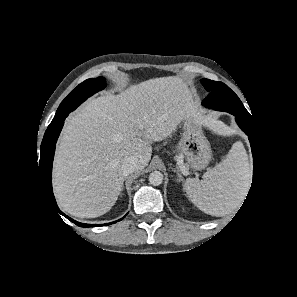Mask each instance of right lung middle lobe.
Masks as SVG:
<instances>
[{
    "label": "right lung middle lobe",
    "instance_id": "1",
    "mask_svg": "<svg viewBox=\"0 0 297 297\" xmlns=\"http://www.w3.org/2000/svg\"><path fill=\"white\" fill-rule=\"evenodd\" d=\"M106 86L105 78L97 77L92 79H87L81 84H79L68 96L61 102L57 112L48 126L52 128L56 123L63 117L67 116L69 112L76 109L82 102H84L88 97L104 89Z\"/></svg>",
    "mask_w": 297,
    "mask_h": 297
}]
</instances>
